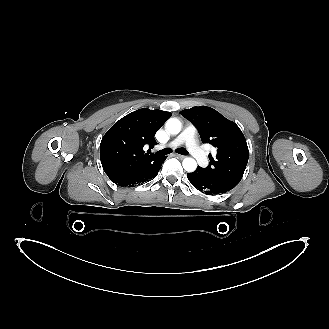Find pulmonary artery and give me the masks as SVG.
Segmentation results:
<instances>
[{
	"mask_svg": "<svg viewBox=\"0 0 329 329\" xmlns=\"http://www.w3.org/2000/svg\"><path fill=\"white\" fill-rule=\"evenodd\" d=\"M185 144L189 153L196 159L201 167L208 165V158L203 149L199 146L196 138V128L188 125L179 136L169 143L170 147H177Z\"/></svg>",
	"mask_w": 329,
	"mask_h": 329,
	"instance_id": "pulmonary-artery-1",
	"label": "pulmonary artery"
}]
</instances>
